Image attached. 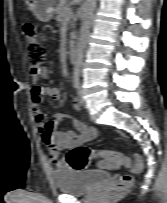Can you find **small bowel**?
Instances as JSON below:
<instances>
[{
    "label": "small bowel",
    "mask_w": 167,
    "mask_h": 203,
    "mask_svg": "<svg viewBox=\"0 0 167 203\" xmlns=\"http://www.w3.org/2000/svg\"><path fill=\"white\" fill-rule=\"evenodd\" d=\"M49 70L43 66L38 71H30V76L33 81L31 88V105L33 109V116L38 125L39 132L42 140L49 150V160L57 168L67 167V163L60 157V153L63 150L71 149L78 145H84L93 141L98 132L93 127H88L80 120L63 113L55 114L51 120L45 121V114L42 110L43 97H49L53 102H58L61 98L59 89L53 87H43L37 84L40 78H47ZM74 107L76 110H81L82 106L77 100L74 101ZM71 120L74 128L78 133L73 130H56L59 123L64 120ZM95 157L99 155H94ZM104 159L98 164L101 169H114L118 166L112 159L107 156H100Z\"/></svg>",
    "instance_id": "small-bowel-1"
}]
</instances>
